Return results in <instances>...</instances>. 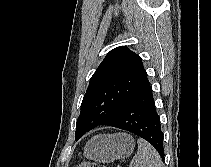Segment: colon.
<instances>
[{
    "label": "colon",
    "mask_w": 211,
    "mask_h": 167,
    "mask_svg": "<svg viewBox=\"0 0 211 167\" xmlns=\"http://www.w3.org/2000/svg\"><path fill=\"white\" fill-rule=\"evenodd\" d=\"M76 167H104V166H100L92 161H83L79 163Z\"/></svg>",
    "instance_id": "colon-1"
}]
</instances>
